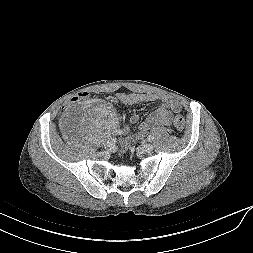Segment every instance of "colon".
Instances as JSON below:
<instances>
[{"instance_id": "5ec220e1", "label": "colon", "mask_w": 253, "mask_h": 253, "mask_svg": "<svg viewBox=\"0 0 253 253\" xmlns=\"http://www.w3.org/2000/svg\"><path fill=\"white\" fill-rule=\"evenodd\" d=\"M88 97H89V94L86 91H79V92L73 93L71 95L70 99L64 102V104L61 108L62 113H64V114L69 113L70 109L87 101ZM173 124H174V127L178 131H183L185 128V119L182 116L177 115L174 118Z\"/></svg>"}]
</instances>
